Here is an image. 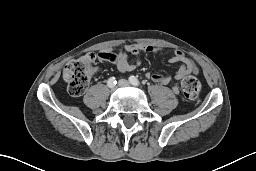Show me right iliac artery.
<instances>
[{
  "label": "right iliac artery",
  "instance_id": "1",
  "mask_svg": "<svg viewBox=\"0 0 256 171\" xmlns=\"http://www.w3.org/2000/svg\"><path fill=\"white\" fill-rule=\"evenodd\" d=\"M116 83H117V81H116L115 77H110V78L108 79V81H107V85H108L109 87L114 86Z\"/></svg>",
  "mask_w": 256,
  "mask_h": 171
}]
</instances>
